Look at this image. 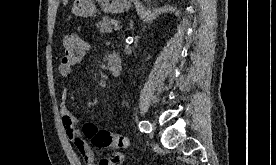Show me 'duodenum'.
Wrapping results in <instances>:
<instances>
[{"label":"duodenum","instance_id":"410a0bca","mask_svg":"<svg viewBox=\"0 0 276 165\" xmlns=\"http://www.w3.org/2000/svg\"><path fill=\"white\" fill-rule=\"evenodd\" d=\"M108 71L112 76H117L122 69L121 60L117 55H111L108 59Z\"/></svg>","mask_w":276,"mask_h":165}]
</instances>
